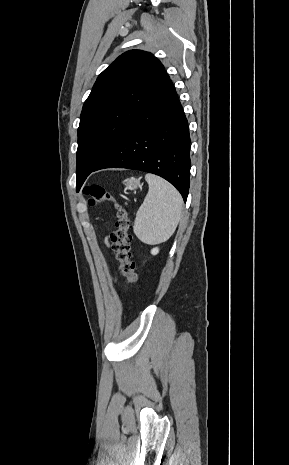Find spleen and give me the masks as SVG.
Here are the masks:
<instances>
[{
    "mask_svg": "<svg viewBox=\"0 0 289 465\" xmlns=\"http://www.w3.org/2000/svg\"><path fill=\"white\" fill-rule=\"evenodd\" d=\"M149 191L136 213L133 231L145 244L165 242L175 232L181 217L183 200L166 180L147 174Z\"/></svg>",
    "mask_w": 289,
    "mask_h": 465,
    "instance_id": "1",
    "label": "spleen"
}]
</instances>
